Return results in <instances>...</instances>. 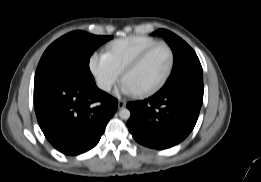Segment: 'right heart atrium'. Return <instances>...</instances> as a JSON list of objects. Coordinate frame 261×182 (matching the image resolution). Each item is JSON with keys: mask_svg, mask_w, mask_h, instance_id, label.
Listing matches in <instances>:
<instances>
[{"mask_svg": "<svg viewBox=\"0 0 261 182\" xmlns=\"http://www.w3.org/2000/svg\"><path fill=\"white\" fill-rule=\"evenodd\" d=\"M89 69L97 86L104 92H109L121 78V72L105 53H93L89 60Z\"/></svg>", "mask_w": 261, "mask_h": 182, "instance_id": "obj_1", "label": "right heart atrium"}]
</instances>
